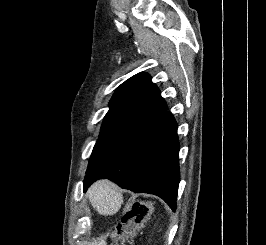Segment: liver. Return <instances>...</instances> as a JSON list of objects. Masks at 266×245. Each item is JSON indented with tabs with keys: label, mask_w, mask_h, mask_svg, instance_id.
Returning a JSON list of instances; mask_svg holds the SVG:
<instances>
[{
	"label": "liver",
	"mask_w": 266,
	"mask_h": 245,
	"mask_svg": "<svg viewBox=\"0 0 266 245\" xmlns=\"http://www.w3.org/2000/svg\"><path fill=\"white\" fill-rule=\"evenodd\" d=\"M87 197L99 215H116L123 205V197L110 181H97L88 189Z\"/></svg>",
	"instance_id": "liver-1"
}]
</instances>
